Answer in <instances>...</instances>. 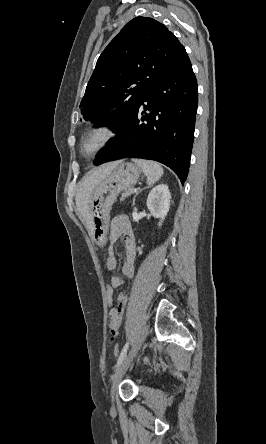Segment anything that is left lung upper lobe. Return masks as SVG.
I'll list each match as a JSON object with an SVG mask.
<instances>
[{
  "mask_svg": "<svg viewBox=\"0 0 266 444\" xmlns=\"http://www.w3.org/2000/svg\"><path fill=\"white\" fill-rule=\"evenodd\" d=\"M186 54L160 22L140 16L132 19L98 58L80 104L83 118L118 129L152 86Z\"/></svg>",
  "mask_w": 266,
  "mask_h": 444,
  "instance_id": "left-lung-upper-lobe-1",
  "label": "left lung upper lobe"
}]
</instances>
